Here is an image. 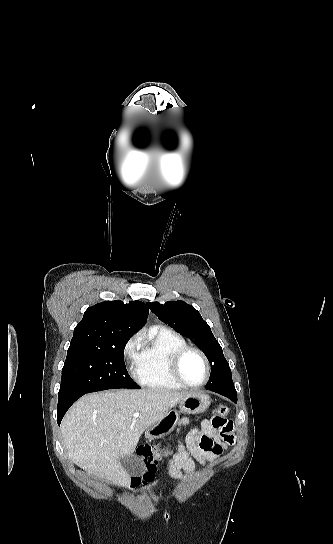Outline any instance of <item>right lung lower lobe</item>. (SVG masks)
<instances>
[{"instance_id":"obj_1","label":"right lung lower lobe","mask_w":333,"mask_h":544,"mask_svg":"<svg viewBox=\"0 0 333 544\" xmlns=\"http://www.w3.org/2000/svg\"><path fill=\"white\" fill-rule=\"evenodd\" d=\"M84 394L86 393H80V394H75L73 392L59 393L58 410H57L58 412L57 422L59 425L66 411L69 409V407Z\"/></svg>"}]
</instances>
